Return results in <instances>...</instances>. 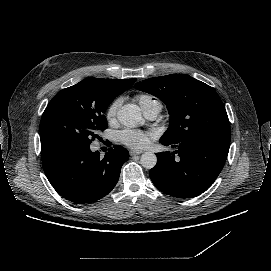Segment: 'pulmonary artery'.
<instances>
[{"mask_svg":"<svg viewBox=\"0 0 271 271\" xmlns=\"http://www.w3.org/2000/svg\"><path fill=\"white\" fill-rule=\"evenodd\" d=\"M158 112L159 110L157 107H154L152 109H144L145 116L148 119H154L157 116Z\"/></svg>","mask_w":271,"mask_h":271,"instance_id":"e3ab8cb5","label":"pulmonary artery"}]
</instances>
